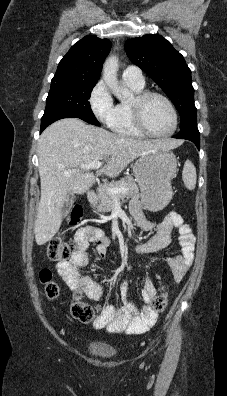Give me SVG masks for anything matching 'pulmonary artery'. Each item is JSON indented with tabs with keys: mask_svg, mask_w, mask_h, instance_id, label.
Returning <instances> with one entry per match:
<instances>
[{
	"mask_svg": "<svg viewBox=\"0 0 227 396\" xmlns=\"http://www.w3.org/2000/svg\"><path fill=\"white\" fill-rule=\"evenodd\" d=\"M122 78L125 82L144 85L145 79L139 67L134 65L127 66L122 72Z\"/></svg>",
	"mask_w": 227,
	"mask_h": 396,
	"instance_id": "1",
	"label": "pulmonary artery"
}]
</instances>
